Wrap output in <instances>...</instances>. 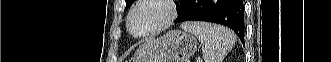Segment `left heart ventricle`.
<instances>
[{
  "label": "left heart ventricle",
  "mask_w": 331,
  "mask_h": 62,
  "mask_svg": "<svg viewBox=\"0 0 331 62\" xmlns=\"http://www.w3.org/2000/svg\"><path fill=\"white\" fill-rule=\"evenodd\" d=\"M167 14V10L161 3H147L141 6L132 18V30L134 33H144L159 24Z\"/></svg>",
  "instance_id": "obj_1"
}]
</instances>
